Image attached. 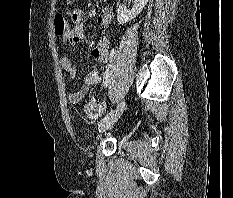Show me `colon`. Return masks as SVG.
<instances>
[{"mask_svg": "<svg viewBox=\"0 0 233 198\" xmlns=\"http://www.w3.org/2000/svg\"><path fill=\"white\" fill-rule=\"evenodd\" d=\"M54 26H55V32L58 35H62L66 32L68 26H67V21L63 15L61 14L55 15ZM103 107H104L103 101L98 97H94L84 105V111L89 115H96L97 113H100L103 110Z\"/></svg>", "mask_w": 233, "mask_h": 198, "instance_id": "colon-1", "label": "colon"}]
</instances>
